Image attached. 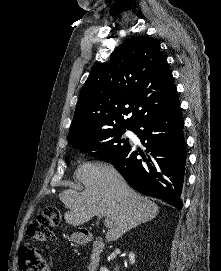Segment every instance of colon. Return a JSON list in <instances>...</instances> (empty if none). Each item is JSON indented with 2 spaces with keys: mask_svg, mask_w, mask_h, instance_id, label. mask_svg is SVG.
<instances>
[{
  "mask_svg": "<svg viewBox=\"0 0 221 271\" xmlns=\"http://www.w3.org/2000/svg\"><path fill=\"white\" fill-rule=\"evenodd\" d=\"M59 224V213L54 207H46L29 227V235L36 242H46L55 238V229ZM20 271H48L44 256L40 250L30 244H22L18 250Z\"/></svg>",
  "mask_w": 221,
  "mask_h": 271,
  "instance_id": "5ec220e1",
  "label": "colon"
}]
</instances>
